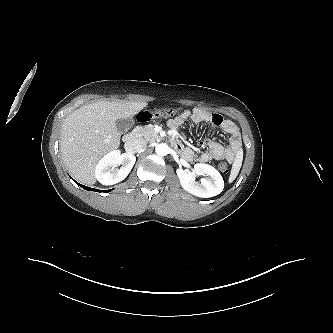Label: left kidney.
I'll return each mask as SVG.
<instances>
[{"label":"left kidney","instance_id":"left-kidney-1","mask_svg":"<svg viewBox=\"0 0 333 333\" xmlns=\"http://www.w3.org/2000/svg\"><path fill=\"white\" fill-rule=\"evenodd\" d=\"M197 175L206 174L208 177L195 181L192 173L183 169H177L176 173L180 184L187 192L202 198H209L220 194L224 188V181L221 174L208 164L198 163L194 166Z\"/></svg>","mask_w":333,"mask_h":333}]
</instances>
